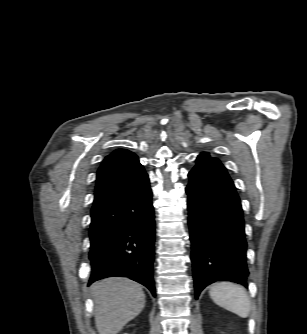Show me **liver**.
Wrapping results in <instances>:
<instances>
[{
    "label": "liver",
    "instance_id": "obj_1",
    "mask_svg": "<svg viewBox=\"0 0 307 334\" xmlns=\"http://www.w3.org/2000/svg\"><path fill=\"white\" fill-rule=\"evenodd\" d=\"M99 334H117L145 306L142 287L126 278H107L91 286Z\"/></svg>",
    "mask_w": 307,
    "mask_h": 334
}]
</instances>
